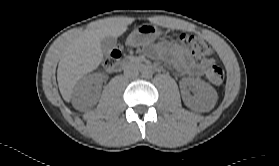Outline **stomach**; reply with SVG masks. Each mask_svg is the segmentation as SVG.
<instances>
[{"label": "stomach", "instance_id": "0dacf381", "mask_svg": "<svg viewBox=\"0 0 279 166\" xmlns=\"http://www.w3.org/2000/svg\"><path fill=\"white\" fill-rule=\"evenodd\" d=\"M161 30L155 25L144 24L135 28L127 37L126 45L129 47H140L153 45L161 35Z\"/></svg>", "mask_w": 279, "mask_h": 166}]
</instances>
